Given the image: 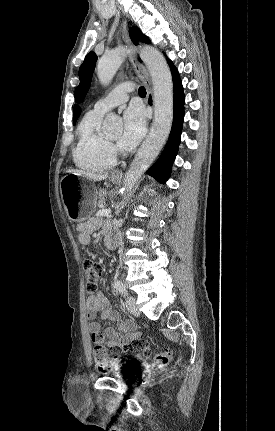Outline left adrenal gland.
<instances>
[{
	"label": "left adrenal gland",
	"instance_id": "obj_1",
	"mask_svg": "<svg viewBox=\"0 0 275 431\" xmlns=\"http://www.w3.org/2000/svg\"><path fill=\"white\" fill-rule=\"evenodd\" d=\"M120 213V208L117 209L116 214L118 215Z\"/></svg>",
	"mask_w": 275,
	"mask_h": 431
}]
</instances>
